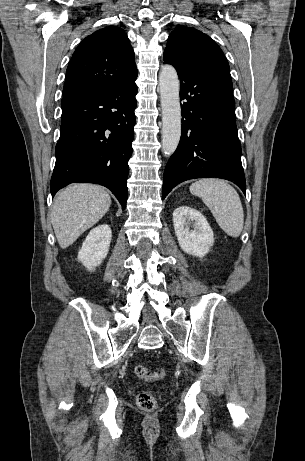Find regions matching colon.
I'll list each match as a JSON object with an SVG mask.
<instances>
[{
	"label": "colon",
	"mask_w": 305,
	"mask_h": 461,
	"mask_svg": "<svg viewBox=\"0 0 305 461\" xmlns=\"http://www.w3.org/2000/svg\"><path fill=\"white\" fill-rule=\"evenodd\" d=\"M135 374L140 379L157 380L163 376V372H152L145 366L138 365L135 367ZM136 404L139 409L147 412L154 411L157 407V401L151 392H140L136 398Z\"/></svg>",
	"instance_id": "colon-1"
}]
</instances>
